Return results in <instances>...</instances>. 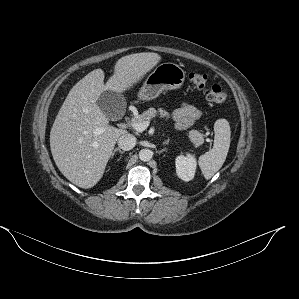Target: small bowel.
Listing matches in <instances>:
<instances>
[{"label":"small bowel","instance_id":"c3829d8e","mask_svg":"<svg viewBox=\"0 0 299 299\" xmlns=\"http://www.w3.org/2000/svg\"><path fill=\"white\" fill-rule=\"evenodd\" d=\"M201 116V111L192 104L184 103L172 113L177 129H185Z\"/></svg>","mask_w":299,"mask_h":299}]
</instances>
